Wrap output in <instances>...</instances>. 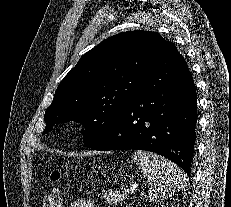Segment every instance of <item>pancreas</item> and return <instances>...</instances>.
<instances>
[{
    "instance_id": "obj_1",
    "label": "pancreas",
    "mask_w": 231,
    "mask_h": 207,
    "mask_svg": "<svg viewBox=\"0 0 231 207\" xmlns=\"http://www.w3.org/2000/svg\"><path fill=\"white\" fill-rule=\"evenodd\" d=\"M103 197L109 204H117L124 200L125 194L118 190L103 191Z\"/></svg>"
}]
</instances>
